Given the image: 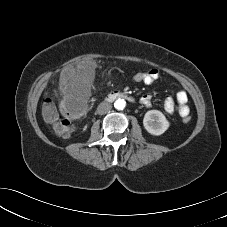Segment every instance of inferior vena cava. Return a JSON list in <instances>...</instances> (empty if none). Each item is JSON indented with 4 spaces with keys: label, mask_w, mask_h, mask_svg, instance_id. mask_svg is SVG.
I'll return each instance as SVG.
<instances>
[{
    "label": "inferior vena cava",
    "mask_w": 227,
    "mask_h": 227,
    "mask_svg": "<svg viewBox=\"0 0 227 227\" xmlns=\"http://www.w3.org/2000/svg\"><path fill=\"white\" fill-rule=\"evenodd\" d=\"M111 109H112V105L110 103L102 102L97 107V113L99 115H104V114L110 112Z\"/></svg>",
    "instance_id": "inferior-vena-cava-1"
}]
</instances>
